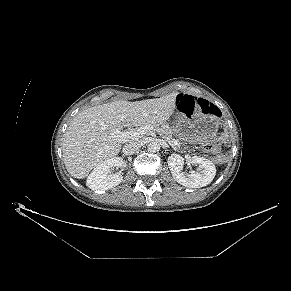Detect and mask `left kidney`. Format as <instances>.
Instances as JSON below:
<instances>
[{"instance_id":"5707ae66","label":"left kidney","mask_w":291,"mask_h":291,"mask_svg":"<svg viewBox=\"0 0 291 291\" xmlns=\"http://www.w3.org/2000/svg\"><path fill=\"white\" fill-rule=\"evenodd\" d=\"M173 178L181 185L188 188H200L212 182L216 175L215 165L208 159L193 156L189 163L198 165L196 171L183 172L184 158L176 153L171 154L167 160Z\"/></svg>"}]
</instances>
